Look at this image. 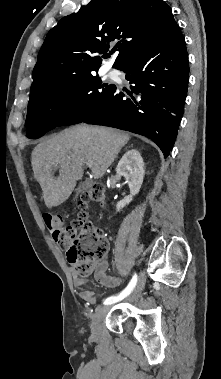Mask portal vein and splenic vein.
Returning a JSON list of instances; mask_svg holds the SVG:
<instances>
[{
  "instance_id": "portal-vein-and-splenic-vein-1",
  "label": "portal vein and splenic vein",
  "mask_w": 221,
  "mask_h": 379,
  "mask_svg": "<svg viewBox=\"0 0 221 379\" xmlns=\"http://www.w3.org/2000/svg\"><path fill=\"white\" fill-rule=\"evenodd\" d=\"M87 166H88L89 168H91V167H92V164H91V163H87Z\"/></svg>"
}]
</instances>
